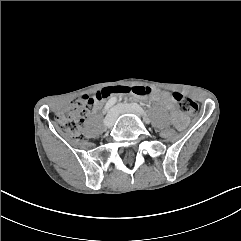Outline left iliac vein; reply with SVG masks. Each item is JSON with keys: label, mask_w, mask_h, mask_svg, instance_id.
<instances>
[{"label": "left iliac vein", "mask_w": 241, "mask_h": 241, "mask_svg": "<svg viewBox=\"0 0 241 241\" xmlns=\"http://www.w3.org/2000/svg\"><path fill=\"white\" fill-rule=\"evenodd\" d=\"M115 109L117 110V114H137V111L129 104H119Z\"/></svg>", "instance_id": "obj_1"}]
</instances>
